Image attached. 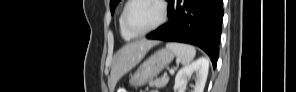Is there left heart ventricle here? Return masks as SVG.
<instances>
[{"instance_id":"b2bd125f","label":"left heart ventricle","mask_w":296,"mask_h":92,"mask_svg":"<svg viewBox=\"0 0 296 92\" xmlns=\"http://www.w3.org/2000/svg\"><path fill=\"white\" fill-rule=\"evenodd\" d=\"M160 17L158 4L150 0L134 2L127 14L129 26L134 31H144L153 26Z\"/></svg>"}]
</instances>
